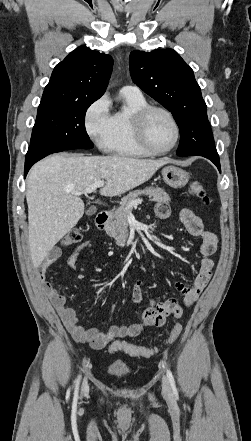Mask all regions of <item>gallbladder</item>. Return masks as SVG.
I'll return each mask as SVG.
<instances>
[{
  "instance_id": "bac80fb5",
  "label": "gallbladder",
  "mask_w": 251,
  "mask_h": 441,
  "mask_svg": "<svg viewBox=\"0 0 251 441\" xmlns=\"http://www.w3.org/2000/svg\"><path fill=\"white\" fill-rule=\"evenodd\" d=\"M96 213V207L95 206H91L88 210V214L92 215Z\"/></svg>"
}]
</instances>
